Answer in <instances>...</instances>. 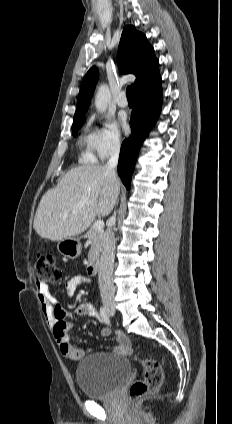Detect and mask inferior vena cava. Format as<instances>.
<instances>
[{
    "instance_id": "inferior-vena-cava-1",
    "label": "inferior vena cava",
    "mask_w": 232,
    "mask_h": 424,
    "mask_svg": "<svg viewBox=\"0 0 232 424\" xmlns=\"http://www.w3.org/2000/svg\"><path fill=\"white\" fill-rule=\"evenodd\" d=\"M120 152V141L119 139H114L111 142L110 146V159L105 165V169L108 172L113 184L116 187L115 192V203L118 198V186L119 181L117 179L116 168ZM116 213L110 219V225L106 229L101 250V258L99 263V272H98V283L100 294L103 303H112L114 302L115 287L113 284V266L115 259V238L112 227L115 225Z\"/></svg>"
}]
</instances>
